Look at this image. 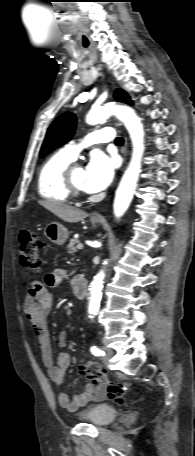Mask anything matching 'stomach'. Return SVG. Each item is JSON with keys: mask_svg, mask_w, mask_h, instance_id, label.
I'll use <instances>...</instances> for the list:
<instances>
[{"mask_svg": "<svg viewBox=\"0 0 195 456\" xmlns=\"http://www.w3.org/2000/svg\"><path fill=\"white\" fill-rule=\"evenodd\" d=\"M92 223L99 224L100 221L95 220ZM45 235L52 243L63 245L69 237V232L62 224L52 222L46 226Z\"/></svg>", "mask_w": 195, "mask_h": 456, "instance_id": "stomach-1", "label": "stomach"}]
</instances>
